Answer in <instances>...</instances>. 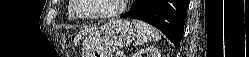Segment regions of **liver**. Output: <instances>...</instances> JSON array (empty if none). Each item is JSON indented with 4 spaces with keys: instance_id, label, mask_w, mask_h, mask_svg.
Segmentation results:
<instances>
[{
    "instance_id": "obj_1",
    "label": "liver",
    "mask_w": 249,
    "mask_h": 57,
    "mask_svg": "<svg viewBox=\"0 0 249 57\" xmlns=\"http://www.w3.org/2000/svg\"><path fill=\"white\" fill-rule=\"evenodd\" d=\"M94 30L93 29H89V30H87V31H83V34H85V33H92Z\"/></svg>"
}]
</instances>
